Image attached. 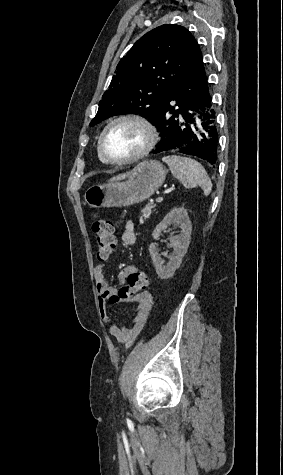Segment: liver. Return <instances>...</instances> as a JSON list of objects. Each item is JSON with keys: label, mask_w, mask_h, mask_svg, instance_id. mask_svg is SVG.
Listing matches in <instances>:
<instances>
[{"label": "liver", "mask_w": 283, "mask_h": 475, "mask_svg": "<svg viewBox=\"0 0 283 475\" xmlns=\"http://www.w3.org/2000/svg\"><path fill=\"white\" fill-rule=\"evenodd\" d=\"M130 176V172H126V174H119V176H114V178H110L108 180L109 184H112V182H120V180H125V178H128Z\"/></svg>", "instance_id": "liver-1"}]
</instances>
